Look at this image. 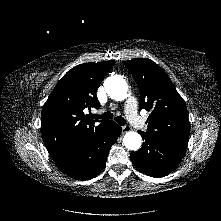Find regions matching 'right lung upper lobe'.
I'll return each mask as SVG.
<instances>
[{
    "label": "right lung upper lobe",
    "mask_w": 221,
    "mask_h": 221,
    "mask_svg": "<svg viewBox=\"0 0 221 221\" xmlns=\"http://www.w3.org/2000/svg\"><path fill=\"white\" fill-rule=\"evenodd\" d=\"M113 64L114 61L77 65L49 95L41 112V131L55 162L74 154L107 126L109 121L92 120L83 110L99 108L96 91Z\"/></svg>",
    "instance_id": "cb5924a9"
}]
</instances>
